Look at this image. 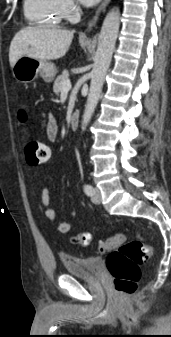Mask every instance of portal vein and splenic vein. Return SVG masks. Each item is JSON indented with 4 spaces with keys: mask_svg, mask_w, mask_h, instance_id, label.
<instances>
[{
    "mask_svg": "<svg viewBox=\"0 0 171 337\" xmlns=\"http://www.w3.org/2000/svg\"><path fill=\"white\" fill-rule=\"evenodd\" d=\"M71 89V82L70 80H65L62 83V92H68Z\"/></svg>",
    "mask_w": 171,
    "mask_h": 337,
    "instance_id": "18ae733b",
    "label": "portal vein and splenic vein"
}]
</instances>
